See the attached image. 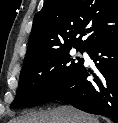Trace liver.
<instances>
[{
    "mask_svg": "<svg viewBox=\"0 0 118 123\" xmlns=\"http://www.w3.org/2000/svg\"><path fill=\"white\" fill-rule=\"evenodd\" d=\"M9 123H99V120L72 106H59L52 110L29 112Z\"/></svg>",
    "mask_w": 118,
    "mask_h": 123,
    "instance_id": "obj_1",
    "label": "liver"
}]
</instances>
